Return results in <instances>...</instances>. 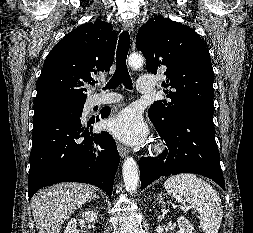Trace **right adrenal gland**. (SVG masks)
<instances>
[{
    "mask_svg": "<svg viewBox=\"0 0 253 233\" xmlns=\"http://www.w3.org/2000/svg\"><path fill=\"white\" fill-rule=\"evenodd\" d=\"M95 199L99 198L97 195L94 196Z\"/></svg>",
    "mask_w": 253,
    "mask_h": 233,
    "instance_id": "right-adrenal-gland-1",
    "label": "right adrenal gland"
}]
</instances>
